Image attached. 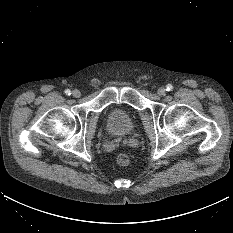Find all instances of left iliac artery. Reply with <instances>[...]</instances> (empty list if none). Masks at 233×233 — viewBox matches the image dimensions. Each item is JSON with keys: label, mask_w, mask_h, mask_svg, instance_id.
I'll use <instances>...</instances> for the list:
<instances>
[{"label": "left iliac artery", "mask_w": 233, "mask_h": 233, "mask_svg": "<svg viewBox=\"0 0 233 233\" xmlns=\"http://www.w3.org/2000/svg\"><path fill=\"white\" fill-rule=\"evenodd\" d=\"M173 89V86L171 85V84H168L167 86H166V90L167 91H171Z\"/></svg>", "instance_id": "44dca946"}]
</instances>
